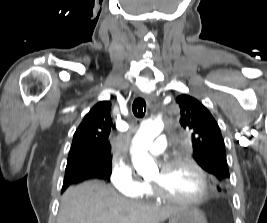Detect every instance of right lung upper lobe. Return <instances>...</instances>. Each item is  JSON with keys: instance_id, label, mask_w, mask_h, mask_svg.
Returning <instances> with one entry per match:
<instances>
[{"instance_id": "cb5924a9", "label": "right lung upper lobe", "mask_w": 267, "mask_h": 223, "mask_svg": "<svg viewBox=\"0 0 267 223\" xmlns=\"http://www.w3.org/2000/svg\"><path fill=\"white\" fill-rule=\"evenodd\" d=\"M110 109L111 103L102 101L84 117L73 136L68 162L95 160L96 169L104 171L105 161L111 159L108 137L113 123Z\"/></svg>"}]
</instances>
